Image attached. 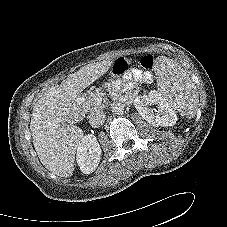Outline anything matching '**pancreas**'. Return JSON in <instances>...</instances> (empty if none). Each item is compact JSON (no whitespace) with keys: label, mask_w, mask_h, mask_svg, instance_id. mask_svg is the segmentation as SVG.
<instances>
[{"label":"pancreas","mask_w":227,"mask_h":227,"mask_svg":"<svg viewBox=\"0 0 227 227\" xmlns=\"http://www.w3.org/2000/svg\"><path fill=\"white\" fill-rule=\"evenodd\" d=\"M99 96V90L90 93L88 99L82 105L84 112L93 113L102 107L101 101L98 100Z\"/></svg>","instance_id":"1"}]
</instances>
